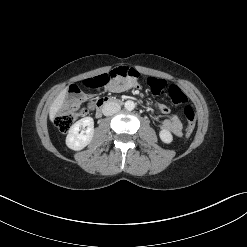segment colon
Segmentation results:
<instances>
[{"label":"colon","mask_w":247,"mask_h":247,"mask_svg":"<svg viewBox=\"0 0 247 247\" xmlns=\"http://www.w3.org/2000/svg\"><path fill=\"white\" fill-rule=\"evenodd\" d=\"M117 77H130L137 79L138 73L135 70L128 69L126 67H119L112 71H106L104 74H99L96 76L91 75L87 77L85 81V87L94 90L98 88V86L113 83ZM147 83L153 94H167L174 105H184L183 114L187 121L185 136L190 137L195 128L196 114L193 107L186 104L187 97L185 94L180 90L179 87L168 84L166 81L161 79L150 77L147 79ZM80 92V88L74 86V88L71 90V99L73 102L67 104L64 108V112L58 115L55 119L57 128L63 133L67 132L73 126V124L87 112L86 109H79L78 105L74 102L76 100V96Z\"/></svg>","instance_id":"obj_1"}]
</instances>
